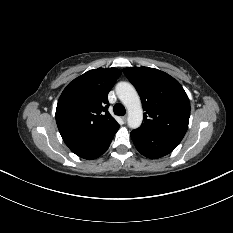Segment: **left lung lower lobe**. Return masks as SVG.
<instances>
[{"label":"left lung lower lobe","mask_w":233,"mask_h":233,"mask_svg":"<svg viewBox=\"0 0 233 233\" xmlns=\"http://www.w3.org/2000/svg\"><path fill=\"white\" fill-rule=\"evenodd\" d=\"M130 135L137 150L150 159H157L169 154L182 140L140 128L133 130Z\"/></svg>","instance_id":"obj_1"}]
</instances>
